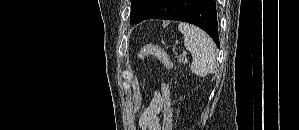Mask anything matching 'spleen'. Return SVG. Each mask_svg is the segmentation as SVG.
Listing matches in <instances>:
<instances>
[{
	"label": "spleen",
	"instance_id": "3e777b00",
	"mask_svg": "<svg viewBox=\"0 0 299 130\" xmlns=\"http://www.w3.org/2000/svg\"><path fill=\"white\" fill-rule=\"evenodd\" d=\"M184 35V45L193 56L190 70L196 76L205 77L212 73L216 64V51L213 40L200 28L180 23L178 26Z\"/></svg>",
	"mask_w": 299,
	"mask_h": 130
}]
</instances>
